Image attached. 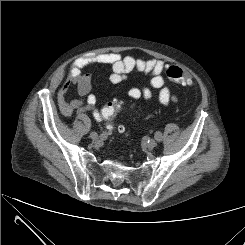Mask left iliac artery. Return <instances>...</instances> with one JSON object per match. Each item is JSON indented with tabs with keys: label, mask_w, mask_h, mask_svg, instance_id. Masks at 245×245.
Instances as JSON below:
<instances>
[{
	"label": "left iliac artery",
	"mask_w": 245,
	"mask_h": 245,
	"mask_svg": "<svg viewBox=\"0 0 245 245\" xmlns=\"http://www.w3.org/2000/svg\"><path fill=\"white\" fill-rule=\"evenodd\" d=\"M155 139L157 141H159V142L162 140V134H161V132H156L155 133Z\"/></svg>",
	"instance_id": "left-iliac-artery-1"
}]
</instances>
